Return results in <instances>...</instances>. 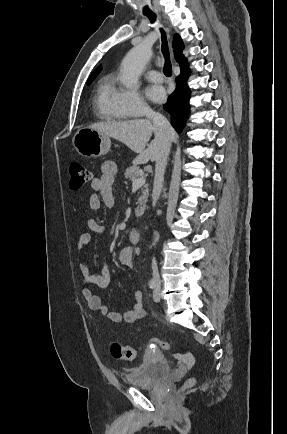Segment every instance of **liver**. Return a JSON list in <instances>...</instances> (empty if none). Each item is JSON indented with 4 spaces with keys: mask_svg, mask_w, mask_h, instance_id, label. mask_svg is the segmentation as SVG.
I'll return each mask as SVG.
<instances>
[{
    "mask_svg": "<svg viewBox=\"0 0 287 434\" xmlns=\"http://www.w3.org/2000/svg\"><path fill=\"white\" fill-rule=\"evenodd\" d=\"M90 128L124 143L132 151L138 153L134 163H146L149 160L155 161L156 159L159 145L156 137V127L153 125L152 120L134 119L122 122L96 123L91 125ZM170 128L171 142H175L178 135L172 127ZM153 133L155 138L148 144Z\"/></svg>",
    "mask_w": 287,
    "mask_h": 434,
    "instance_id": "liver-1",
    "label": "liver"
}]
</instances>
